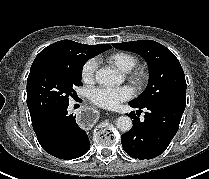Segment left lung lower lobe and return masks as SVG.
<instances>
[{"label":"left lung lower lobe","mask_w":209,"mask_h":179,"mask_svg":"<svg viewBox=\"0 0 209 179\" xmlns=\"http://www.w3.org/2000/svg\"><path fill=\"white\" fill-rule=\"evenodd\" d=\"M133 108L147 110L143 122L135 115L133 127L121 135L124 151L136 159H152L162 154L178 131L180 120L185 109L186 99L175 98L158 101L145 106L132 102Z\"/></svg>","instance_id":"left-lung-lower-lobe-1"}]
</instances>
